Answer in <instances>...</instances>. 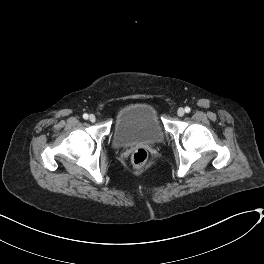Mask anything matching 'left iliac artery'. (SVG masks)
<instances>
[{
  "instance_id": "1",
  "label": "left iliac artery",
  "mask_w": 264,
  "mask_h": 264,
  "mask_svg": "<svg viewBox=\"0 0 264 264\" xmlns=\"http://www.w3.org/2000/svg\"><path fill=\"white\" fill-rule=\"evenodd\" d=\"M190 110H191V109H190L189 107H185V112H186V113H189Z\"/></svg>"
}]
</instances>
